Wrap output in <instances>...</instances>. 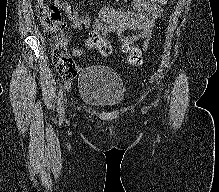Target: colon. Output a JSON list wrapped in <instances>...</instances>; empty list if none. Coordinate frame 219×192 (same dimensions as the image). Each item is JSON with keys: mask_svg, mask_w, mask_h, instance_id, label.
<instances>
[{"mask_svg": "<svg viewBox=\"0 0 219 192\" xmlns=\"http://www.w3.org/2000/svg\"><path fill=\"white\" fill-rule=\"evenodd\" d=\"M37 17L46 38L53 43V63L59 75L67 80L77 75V68L67 51V35L59 9L49 0H38ZM102 55L112 52L111 43L105 38L96 40V49ZM123 52L129 65H139L143 61L142 53L128 40L124 41Z\"/></svg>", "mask_w": 219, "mask_h": 192, "instance_id": "1", "label": "colon"}]
</instances>
